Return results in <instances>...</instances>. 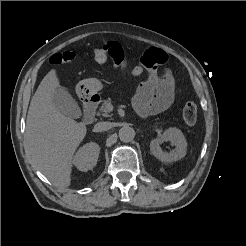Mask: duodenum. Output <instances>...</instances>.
<instances>
[{"label":"duodenum","instance_id":"410a0bca","mask_svg":"<svg viewBox=\"0 0 246 246\" xmlns=\"http://www.w3.org/2000/svg\"><path fill=\"white\" fill-rule=\"evenodd\" d=\"M98 101L99 96L96 94L88 95L83 98V120L86 123H91L93 121Z\"/></svg>","mask_w":246,"mask_h":246}]
</instances>
